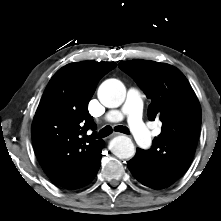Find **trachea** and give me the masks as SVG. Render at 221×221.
I'll list each match as a JSON object with an SVG mask.
<instances>
[{
	"mask_svg": "<svg viewBox=\"0 0 221 221\" xmlns=\"http://www.w3.org/2000/svg\"><path fill=\"white\" fill-rule=\"evenodd\" d=\"M114 131L121 132L124 134H129V129L126 126H116L114 127ZM113 132V129L111 126H105L98 134V138H104L108 135H110Z\"/></svg>",
	"mask_w": 221,
	"mask_h": 221,
	"instance_id": "trachea-1",
	"label": "trachea"
}]
</instances>
